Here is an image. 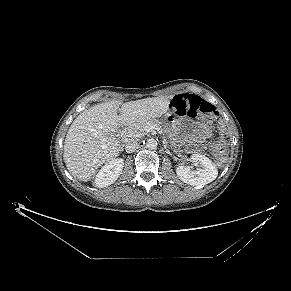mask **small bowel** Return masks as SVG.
Segmentation results:
<instances>
[{
	"label": "small bowel",
	"instance_id": "1",
	"mask_svg": "<svg viewBox=\"0 0 291 291\" xmlns=\"http://www.w3.org/2000/svg\"><path fill=\"white\" fill-rule=\"evenodd\" d=\"M182 95H185V96H197V95H194V94H182Z\"/></svg>",
	"mask_w": 291,
	"mask_h": 291
}]
</instances>
